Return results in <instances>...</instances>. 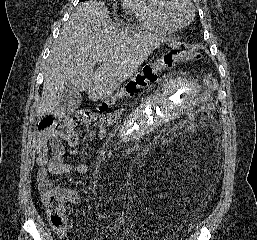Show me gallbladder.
Listing matches in <instances>:
<instances>
[{
  "label": "gallbladder",
  "mask_w": 257,
  "mask_h": 240,
  "mask_svg": "<svg viewBox=\"0 0 257 240\" xmlns=\"http://www.w3.org/2000/svg\"><path fill=\"white\" fill-rule=\"evenodd\" d=\"M82 97L74 85L68 83L63 93L59 110L60 112L71 114L81 105Z\"/></svg>",
  "instance_id": "gallbladder-1"
}]
</instances>
